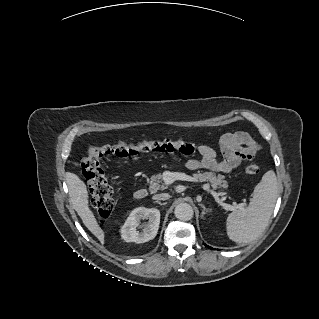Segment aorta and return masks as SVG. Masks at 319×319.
<instances>
[{"instance_id": "aorta-1", "label": "aorta", "mask_w": 319, "mask_h": 319, "mask_svg": "<svg viewBox=\"0 0 319 319\" xmlns=\"http://www.w3.org/2000/svg\"><path fill=\"white\" fill-rule=\"evenodd\" d=\"M175 217L181 221H189L194 215L193 208L188 203H179L174 210Z\"/></svg>"}]
</instances>
